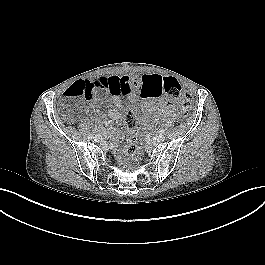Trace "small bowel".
Instances as JSON below:
<instances>
[{"label": "small bowel", "instance_id": "c3829d8e", "mask_svg": "<svg viewBox=\"0 0 265 265\" xmlns=\"http://www.w3.org/2000/svg\"><path fill=\"white\" fill-rule=\"evenodd\" d=\"M162 79L163 76L158 73L146 74L141 77L102 75L94 78L91 82L104 84L103 88H96V92L107 91L111 95L112 107L109 110L110 119L107 120L105 124L110 126L112 121L121 118L122 99L130 101L132 104L137 103L138 94L135 89L139 90L140 96L143 99L141 105V111L143 113H148L151 110L155 112L164 110L171 111L173 105L165 102L163 99L159 98L156 101H151L152 98H156L152 96V92L156 88V84L153 82L161 81ZM100 98L101 97L97 95L96 99ZM97 127L102 128L103 124L98 122Z\"/></svg>", "mask_w": 265, "mask_h": 265}]
</instances>
